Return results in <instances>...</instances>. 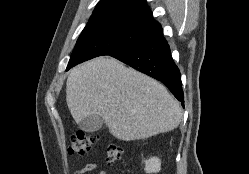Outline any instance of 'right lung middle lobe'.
<instances>
[{
  "label": "right lung middle lobe",
  "mask_w": 249,
  "mask_h": 174,
  "mask_svg": "<svg viewBox=\"0 0 249 174\" xmlns=\"http://www.w3.org/2000/svg\"><path fill=\"white\" fill-rule=\"evenodd\" d=\"M149 27L121 24L100 30H83L73 50L67 69L101 55H113L145 40Z\"/></svg>",
  "instance_id": "obj_1"
}]
</instances>
